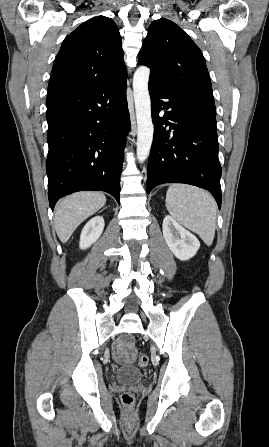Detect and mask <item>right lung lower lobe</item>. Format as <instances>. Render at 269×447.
Masks as SVG:
<instances>
[{"label": "right lung lower lobe", "mask_w": 269, "mask_h": 447, "mask_svg": "<svg viewBox=\"0 0 269 447\" xmlns=\"http://www.w3.org/2000/svg\"><path fill=\"white\" fill-rule=\"evenodd\" d=\"M48 197L99 190L117 202L130 117L126 74L98 86L57 89L47 95Z\"/></svg>", "instance_id": "1"}]
</instances>
